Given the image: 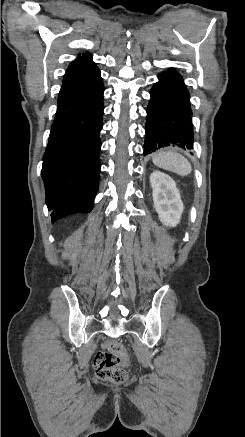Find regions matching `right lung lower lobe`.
<instances>
[{
    "label": "right lung lower lobe",
    "mask_w": 245,
    "mask_h": 437,
    "mask_svg": "<svg viewBox=\"0 0 245 437\" xmlns=\"http://www.w3.org/2000/svg\"><path fill=\"white\" fill-rule=\"evenodd\" d=\"M103 92L101 80L58 96L42 167L52 223L76 213H89L93 208L101 167Z\"/></svg>",
    "instance_id": "1"
}]
</instances>
